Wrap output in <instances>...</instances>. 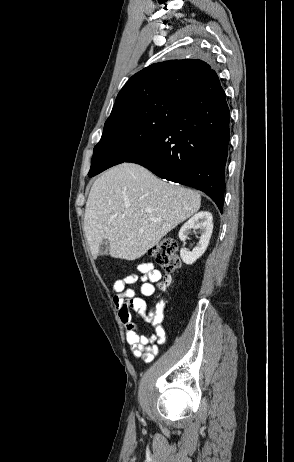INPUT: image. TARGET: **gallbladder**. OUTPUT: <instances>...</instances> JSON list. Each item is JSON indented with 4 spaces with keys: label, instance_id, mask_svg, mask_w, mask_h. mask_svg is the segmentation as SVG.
Listing matches in <instances>:
<instances>
[{
    "label": "gallbladder",
    "instance_id": "1",
    "mask_svg": "<svg viewBox=\"0 0 294 462\" xmlns=\"http://www.w3.org/2000/svg\"><path fill=\"white\" fill-rule=\"evenodd\" d=\"M108 252H109V241L105 239L100 244L99 255L106 256Z\"/></svg>",
    "mask_w": 294,
    "mask_h": 462
}]
</instances>
